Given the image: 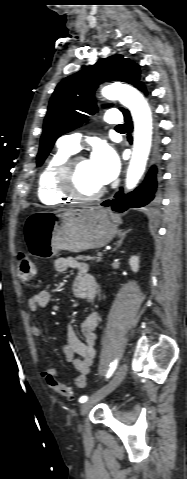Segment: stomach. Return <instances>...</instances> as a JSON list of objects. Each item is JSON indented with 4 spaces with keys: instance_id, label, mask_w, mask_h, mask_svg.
Masks as SVG:
<instances>
[{
    "instance_id": "stomach-1",
    "label": "stomach",
    "mask_w": 187,
    "mask_h": 479,
    "mask_svg": "<svg viewBox=\"0 0 187 479\" xmlns=\"http://www.w3.org/2000/svg\"><path fill=\"white\" fill-rule=\"evenodd\" d=\"M118 233L110 212L100 207L37 211L24 223V238L31 255L49 259L60 250L79 252L100 248Z\"/></svg>"
}]
</instances>
